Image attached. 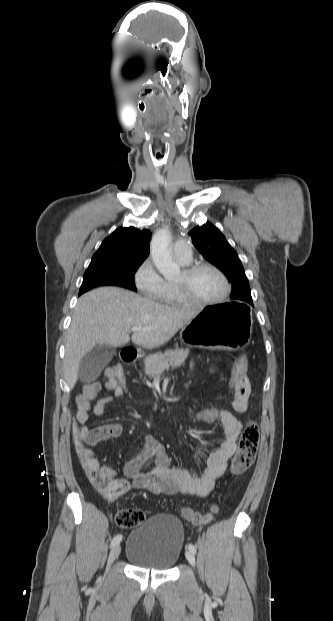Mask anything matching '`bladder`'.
<instances>
[{
  "mask_svg": "<svg viewBox=\"0 0 333 621\" xmlns=\"http://www.w3.org/2000/svg\"><path fill=\"white\" fill-rule=\"evenodd\" d=\"M183 545L182 522L170 514H157L132 529L126 542V558L139 568L168 571L178 561Z\"/></svg>",
  "mask_w": 333,
  "mask_h": 621,
  "instance_id": "bladder-1",
  "label": "bladder"
}]
</instances>
